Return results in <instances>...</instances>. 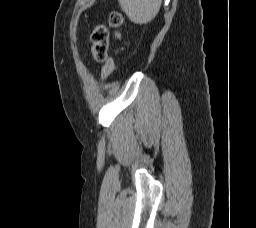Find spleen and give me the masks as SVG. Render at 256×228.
Here are the masks:
<instances>
[{
  "instance_id": "3e777b00",
  "label": "spleen",
  "mask_w": 256,
  "mask_h": 228,
  "mask_svg": "<svg viewBox=\"0 0 256 228\" xmlns=\"http://www.w3.org/2000/svg\"><path fill=\"white\" fill-rule=\"evenodd\" d=\"M118 2L133 23L143 25L156 17L162 0H118Z\"/></svg>"
}]
</instances>
